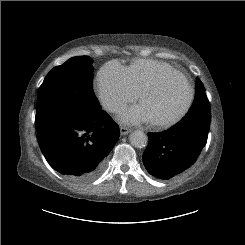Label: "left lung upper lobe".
Instances as JSON below:
<instances>
[{"mask_svg":"<svg viewBox=\"0 0 245 245\" xmlns=\"http://www.w3.org/2000/svg\"><path fill=\"white\" fill-rule=\"evenodd\" d=\"M209 101L201 82L197 79L195 85V99L186 116L175 126H196L209 128Z\"/></svg>","mask_w":245,"mask_h":245,"instance_id":"obj_1","label":"left lung upper lobe"}]
</instances>
